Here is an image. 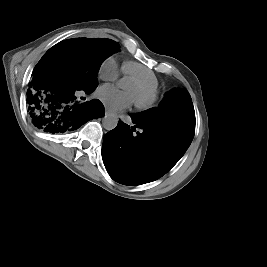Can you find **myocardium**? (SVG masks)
I'll return each instance as SVG.
<instances>
[{
    "instance_id": "f54148a6",
    "label": "myocardium",
    "mask_w": 267,
    "mask_h": 267,
    "mask_svg": "<svg viewBox=\"0 0 267 267\" xmlns=\"http://www.w3.org/2000/svg\"><path fill=\"white\" fill-rule=\"evenodd\" d=\"M130 81L145 91L143 96L133 98L135 105L139 108H147L151 106L156 100V94L150 91L141 81L131 78Z\"/></svg>"
}]
</instances>
